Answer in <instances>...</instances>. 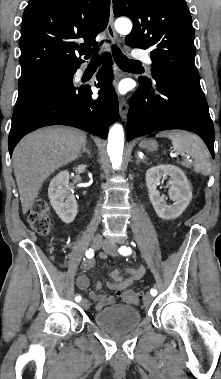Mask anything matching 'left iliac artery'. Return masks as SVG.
Here are the masks:
<instances>
[{"mask_svg":"<svg viewBox=\"0 0 221 379\" xmlns=\"http://www.w3.org/2000/svg\"><path fill=\"white\" fill-rule=\"evenodd\" d=\"M118 251H119V253L121 255H124V256L130 255L132 253V249L130 247H126V246H121ZM150 294L152 296H156L157 295V290L155 288H152L150 290Z\"/></svg>","mask_w":221,"mask_h":379,"instance_id":"44dca946","label":"left iliac artery"}]
</instances>
